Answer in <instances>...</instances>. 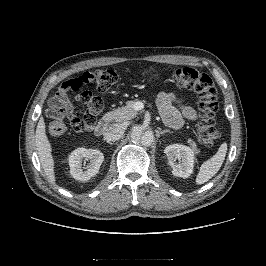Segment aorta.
Wrapping results in <instances>:
<instances>
[{
	"instance_id": "obj_1",
	"label": "aorta",
	"mask_w": 266,
	"mask_h": 266,
	"mask_svg": "<svg viewBox=\"0 0 266 266\" xmlns=\"http://www.w3.org/2000/svg\"><path fill=\"white\" fill-rule=\"evenodd\" d=\"M131 140L133 143H141L143 146H150L154 141V134L150 130L144 131L136 126L132 129Z\"/></svg>"
}]
</instances>
